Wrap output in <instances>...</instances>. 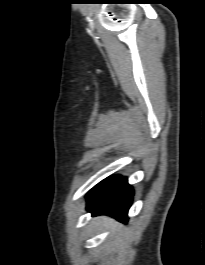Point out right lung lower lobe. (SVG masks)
<instances>
[{
	"label": "right lung lower lobe",
	"mask_w": 205,
	"mask_h": 265,
	"mask_svg": "<svg viewBox=\"0 0 205 265\" xmlns=\"http://www.w3.org/2000/svg\"><path fill=\"white\" fill-rule=\"evenodd\" d=\"M133 195V188L127 178L114 175L102 180L87 193L86 209L93 216L109 215L127 222Z\"/></svg>",
	"instance_id": "1"
}]
</instances>
